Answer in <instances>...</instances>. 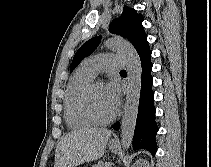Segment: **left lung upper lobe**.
Here are the masks:
<instances>
[{
    "label": "left lung upper lobe",
    "instance_id": "obj_1",
    "mask_svg": "<svg viewBox=\"0 0 211 167\" xmlns=\"http://www.w3.org/2000/svg\"><path fill=\"white\" fill-rule=\"evenodd\" d=\"M142 22L143 16L141 14H138L133 8L124 6L120 18L112 21L109 26L111 33H118L132 43L140 58L151 51ZM100 40V36L91 38L78 49L72 60L70 72L84 57L91 54L97 48Z\"/></svg>",
    "mask_w": 211,
    "mask_h": 167
}]
</instances>
